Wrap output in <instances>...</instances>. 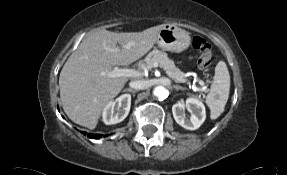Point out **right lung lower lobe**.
I'll list each match as a JSON object with an SVG mask.
<instances>
[{
  "label": "right lung lower lobe",
  "instance_id": "1",
  "mask_svg": "<svg viewBox=\"0 0 287 175\" xmlns=\"http://www.w3.org/2000/svg\"><path fill=\"white\" fill-rule=\"evenodd\" d=\"M84 135H86V132H82ZM89 138H93V139H99L102 137L101 134H87Z\"/></svg>",
  "mask_w": 287,
  "mask_h": 175
}]
</instances>
